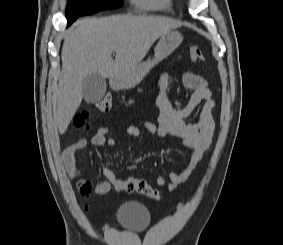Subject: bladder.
<instances>
[{"label":"bladder","instance_id":"bladder-1","mask_svg":"<svg viewBox=\"0 0 283 245\" xmlns=\"http://www.w3.org/2000/svg\"><path fill=\"white\" fill-rule=\"evenodd\" d=\"M116 218L123 228L141 231L149 225L151 214L143 204L136 201H128L118 207Z\"/></svg>","mask_w":283,"mask_h":245}]
</instances>
